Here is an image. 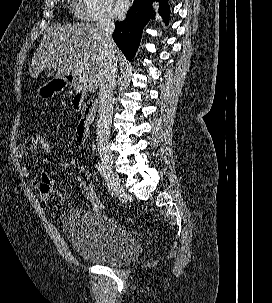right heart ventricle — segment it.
I'll use <instances>...</instances> for the list:
<instances>
[{"mask_svg":"<svg viewBox=\"0 0 272 303\" xmlns=\"http://www.w3.org/2000/svg\"><path fill=\"white\" fill-rule=\"evenodd\" d=\"M73 6H74V9H75L76 14H77L78 16H82V15H81V12H80V9H79V7H78V5H77V3H76L75 0L73 1Z\"/></svg>","mask_w":272,"mask_h":303,"instance_id":"1","label":"right heart ventricle"}]
</instances>
